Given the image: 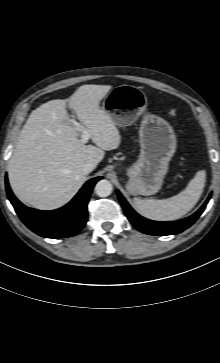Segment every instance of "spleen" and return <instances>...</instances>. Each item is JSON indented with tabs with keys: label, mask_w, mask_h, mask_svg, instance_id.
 Returning a JSON list of instances; mask_svg holds the SVG:
<instances>
[{
	"label": "spleen",
	"mask_w": 220,
	"mask_h": 363,
	"mask_svg": "<svg viewBox=\"0 0 220 363\" xmlns=\"http://www.w3.org/2000/svg\"><path fill=\"white\" fill-rule=\"evenodd\" d=\"M205 186V171H198L179 194L164 200L134 198L137 211L155 221H175L187 214L200 199Z\"/></svg>",
	"instance_id": "obj_1"
}]
</instances>
